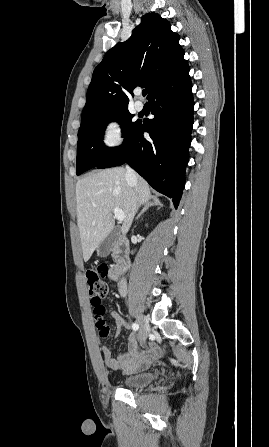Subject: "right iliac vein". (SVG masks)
I'll return each mask as SVG.
<instances>
[{
	"mask_svg": "<svg viewBox=\"0 0 269 447\" xmlns=\"http://www.w3.org/2000/svg\"><path fill=\"white\" fill-rule=\"evenodd\" d=\"M137 323L139 325V337L140 340L143 342L147 338L148 330H149V321L148 319L143 316L142 314L137 315Z\"/></svg>",
	"mask_w": 269,
	"mask_h": 447,
	"instance_id": "63e3f726",
	"label": "right iliac vein"
}]
</instances>
